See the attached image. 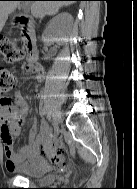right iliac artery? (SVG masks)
<instances>
[{"label": "right iliac artery", "instance_id": "1", "mask_svg": "<svg viewBox=\"0 0 137 189\" xmlns=\"http://www.w3.org/2000/svg\"><path fill=\"white\" fill-rule=\"evenodd\" d=\"M48 125H52V119L50 115H48Z\"/></svg>", "mask_w": 137, "mask_h": 189}]
</instances>
